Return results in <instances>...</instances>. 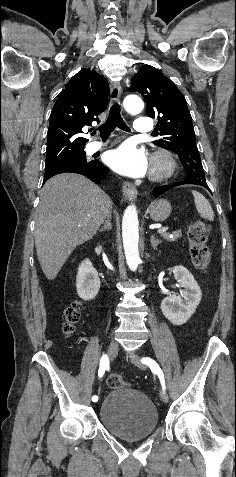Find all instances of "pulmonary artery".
Instances as JSON below:
<instances>
[{
	"label": "pulmonary artery",
	"instance_id": "e3ab8cb5",
	"mask_svg": "<svg viewBox=\"0 0 236 477\" xmlns=\"http://www.w3.org/2000/svg\"><path fill=\"white\" fill-rule=\"evenodd\" d=\"M152 129H153V124L149 118H145V117L138 118L134 122L133 130L136 133H149L152 131ZM101 146H102V143L100 142L93 143L94 150L101 148Z\"/></svg>",
	"mask_w": 236,
	"mask_h": 477
}]
</instances>
